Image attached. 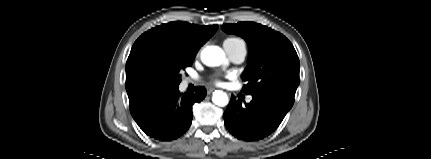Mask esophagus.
<instances>
[{"label": "esophagus", "instance_id": "34e87169", "mask_svg": "<svg viewBox=\"0 0 431 159\" xmlns=\"http://www.w3.org/2000/svg\"><path fill=\"white\" fill-rule=\"evenodd\" d=\"M214 90H215L214 88H210V89L207 90V93L211 94Z\"/></svg>", "mask_w": 431, "mask_h": 159}]
</instances>
